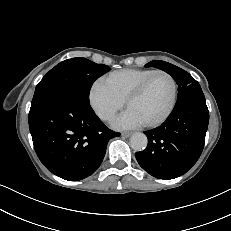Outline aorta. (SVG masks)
Listing matches in <instances>:
<instances>
[{"label": "aorta", "instance_id": "1", "mask_svg": "<svg viewBox=\"0 0 231 231\" xmlns=\"http://www.w3.org/2000/svg\"><path fill=\"white\" fill-rule=\"evenodd\" d=\"M147 143L148 140L146 135L141 132L132 134L130 138V146L136 151L144 150L147 146Z\"/></svg>", "mask_w": 231, "mask_h": 231}]
</instances>
